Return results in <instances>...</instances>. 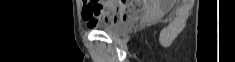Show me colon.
Returning <instances> with one entry per match:
<instances>
[{"mask_svg":"<svg viewBox=\"0 0 235 62\" xmlns=\"http://www.w3.org/2000/svg\"><path fill=\"white\" fill-rule=\"evenodd\" d=\"M94 6H99V5H94ZM135 8H136V6H135ZM131 11L132 10H130L129 8L124 6V3H121V2L115 3L114 17L116 20L122 19V18L126 17Z\"/></svg>","mask_w":235,"mask_h":62,"instance_id":"5ec220e1","label":"colon"}]
</instances>
